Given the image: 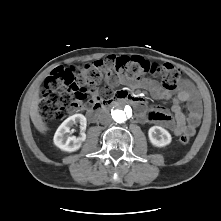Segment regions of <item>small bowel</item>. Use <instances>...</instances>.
Returning a JSON list of instances; mask_svg holds the SVG:
<instances>
[{"label": "small bowel", "instance_id": "obj_1", "mask_svg": "<svg viewBox=\"0 0 221 221\" xmlns=\"http://www.w3.org/2000/svg\"><path fill=\"white\" fill-rule=\"evenodd\" d=\"M106 81L109 86L128 84L131 87H144L156 99L172 100L173 117L163 107L143 108V105V110L139 113V119L163 124L169 127L176 136L181 134L193 136L195 134L202 116V103L197 91L189 81L183 80L177 89L168 90L155 80H131L121 71L110 72L106 77ZM92 98L94 101L100 99L97 90L93 92ZM183 103L187 104V114L182 111L181 105Z\"/></svg>", "mask_w": 221, "mask_h": 221}]
</instances>
